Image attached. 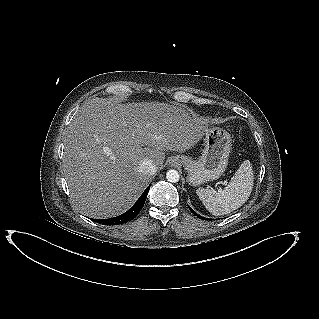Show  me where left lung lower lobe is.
I'll use <instances>...</instances> for the list:
<instances>
[{
  "instance_id": "1",
  "label": "left lung lower lobe",
  "mask_w": 319,
  "mask_h": 319,
  "mask_svg": "<svg viewBox=\"0 0 319 319\" xmlns=\"http://www.w3.org/2000/svg\"><path fill=\"white\" fill-rule=\"evenodd\" d=\"M189 209H190V211H191L194 215L198 216V217L201 218V219H205L204 217H201V216H199L197 213H195L194 210L191 209L190 207H189ZM211 220H212V219H211Z\"/></svg>"
}]
</instances>
